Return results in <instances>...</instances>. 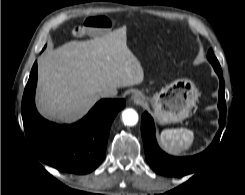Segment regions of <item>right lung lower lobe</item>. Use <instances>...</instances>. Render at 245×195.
I'll return each mask as SVG.
<instances>
[{
	"mask_svg": "<svg viewBox=\"0 0 245 195\" xmlns=\"http://www.w3.org/2000/svg\"><path fill=\"white\" fill-rule=\"evenodd\" d=\"M37 63L33 65L22 99V118L28 143L38 159L60 171L87 174L102 162L110 127L124 108V99H103L80 121L58 125L42 118L35 107Z\"/></svg>",
	"mask_w": 245,
	"mask_h": 195,
	"instance_id": "1",
	"label": "right lung lower lobe"
}]
</instances>
